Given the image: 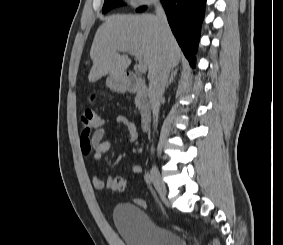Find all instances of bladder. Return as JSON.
<instances>
[{
	"label": "bladder",
	"instance_id": "bladder-1",
	"mask_svg": "<svg viewBox=\"0 0 283 245\" xmlns=\"http://www.w3.org/2000/svg\"><path fill=\"white\" fill-rule=\"evenodd\" d=\"M113 221L126 245H186L178 233L154 223L141 207L131 203L116 204Z\"/></svg>",
	"mask_w": 283,
	"mask_h": 245
}]
</instances>
